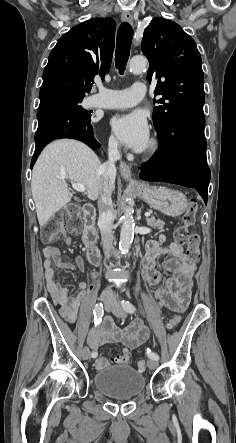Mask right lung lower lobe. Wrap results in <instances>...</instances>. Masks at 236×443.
<instances>
[{
	"mask_svg": "<svg viewBox=\"0 0 236 443\" xmlns=\"http://www.w3.org/2000/svg\"><path fill=\"white\" fill-rule=\"evenodd\" d=\"M37 119L36 147L31 167L42 149L55 139H77L93 150L101 146L94 138L90 117L81 116L71 105L59 98L45 97L40 99Z\"/></svg>",
	"mask_w": 236,
	"mask_h": 443,
	"instance_id": "98d812e1",
	"label": "right lung lower lobe"
}]
</instances>
